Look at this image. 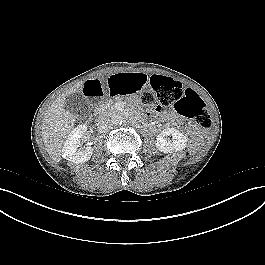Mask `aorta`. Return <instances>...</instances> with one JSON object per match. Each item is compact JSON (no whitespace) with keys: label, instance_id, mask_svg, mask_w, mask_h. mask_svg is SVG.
<instances>
[{"label":"aorta","instance_id":"obj_1","mask_svg":"<svg viewBox=\"0 0 265 265\" xmlns=\"http://www.w3.org/2000/svg\"><path fill=\"white\" fill-rule=\"evenodd\" d=\"M124 121V118L122 116V114L120 113H114L112 116H111V122L113 125H121Z\"/></svg>","mask_w":265,"mask_h":265}]
</instances>
